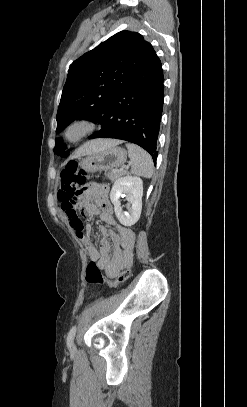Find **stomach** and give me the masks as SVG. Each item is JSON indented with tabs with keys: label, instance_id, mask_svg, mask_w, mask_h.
Returning a JSON list of instances; mask_svg holds the SVG:
<instances>
[{
	"label": "stomach",
	"instance_id": "obj_1",
	"mask_svg": "<svg viewBox=\"0 0 247 407\" xmlns=\"http://www.w3.org/2000/svg\"><path fill=\"white\" fill-rule=\"evenodd\" d=\"M126 158L127 153L123 148L113 146L85 155L80 159L78 166L87 173L109 171L123 165Z\"/></svg>",
	"mask_w": 247,
	"mask_h": 407
}]
</instances>
